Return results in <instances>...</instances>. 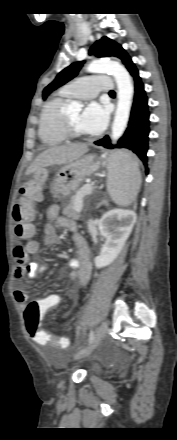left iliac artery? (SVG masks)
Wrapping results in <instances>:
<instances>
[{"label": "left iliac artery", "mask_w": 177, "mask_h": 440, "mask_svg": "<svg viewBox=\"0 0 177 440\" xmlns=\"http://www.w3.org/2000/svg\"><path fill=\"white\" fill-rule=\"evenodd\" d=\"M93 340H94V332L91 331L89 334V344H91L93 342Z\"/></svg>", "instance_id": "obj_1"}]
</instances>
